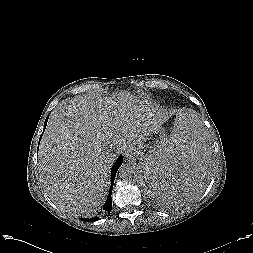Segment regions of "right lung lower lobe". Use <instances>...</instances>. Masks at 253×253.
<instances>
[{
	"label": "right lung lower lobe",
	"mask_w": 253,
	"mask_h": 253,
	"mask_svg": "<svg viewBox=\"0 0 253 253\" xmlns=\"http://www.w3.org/2000/svg\"><path fill=\"white\" fill-rule=\"evenodd\" d=\"M48 118H49V115L48 117L46 118L45 120V123H44V130L46 128V125H47V121H48ZM43 135V133H42ZM41 135V137H42ZM40 137V139H41ZM39 146V145H38ZM122 156H120L117 161L114 163V165L112 166V169H111V187H110V190H109V194H108V197H107V200L102 208L103 210V213H109L112 209V197H111V193H112V189H113V184H114V179H115V176H116V173L119 169V167L122 165ZM98 220V217H94V218H84L82 219V221H86V222H92V221H97Z\"/></svg>",
	"instance_id": "obj_1"
}]
</instances>
